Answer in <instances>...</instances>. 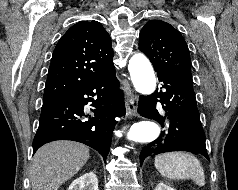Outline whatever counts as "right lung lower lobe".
<instances>
[{
  "label": "right lung lower lobe",
  "mask_w": 238,
  "mask_h": 190,
  "mask_svg": "<svg viewBox=\"0 0 238 190\" xmlns=\"http://www.w3.org/2000/svg\"><path fill=\"white\" fill-rule=\"evenodd\" d=\"M118 86L113 70L84 84L67 97L43 105L33 152L45 143L67 139L96 149L106 160L116 124L114 118L125 114L123 94ZM88 102H92L93 116L84 113V105Z\"/></svg>",
  "instance_id": "right-lung-lower-lobe-1"
}]
</instances>
